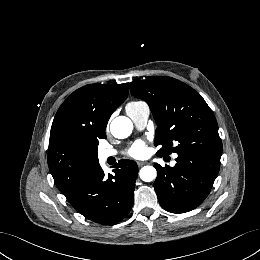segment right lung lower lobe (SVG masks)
I'll return each mask as SVG.
<instances>
[{"instance_id": "1", "label": "right lung lower lobe", "mask_w": 260, "mask_h": 260, "mask_svg": "<svg viewBox=\"0 0 260 260\" xmlns=\"http://www.w3.org/2000/svg\"><path fill=\"white\" fill-rule=\"evenodd\" d=\"M114 175L105 176L98 165L67 197L86 218L100 224H114L131 210L138 167L133 160H120Z\"/></svg>"}]
</instances>
